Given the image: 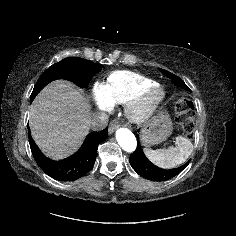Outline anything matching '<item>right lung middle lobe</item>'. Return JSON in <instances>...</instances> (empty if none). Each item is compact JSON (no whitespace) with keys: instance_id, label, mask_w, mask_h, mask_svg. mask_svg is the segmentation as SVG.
<instances>
[{"instance_id":"dd1d6c3e","label":"right lung middle lobe","mask_w":236,"mask_h":236,"mask_svg":"<svg viewBox=\"0 0 236 236\" xmlns=\"http://www.w3.org/2000/svg\"><path fill=\"white\" fill-rule=\"evenodd\" d=\"M101 64L79 58L68 57L59 63L51 65L38 79L30 96V102L50 82L57 79H66L79 87H87L92 77L100 72Z\"/></svg>"}]
</instances>
